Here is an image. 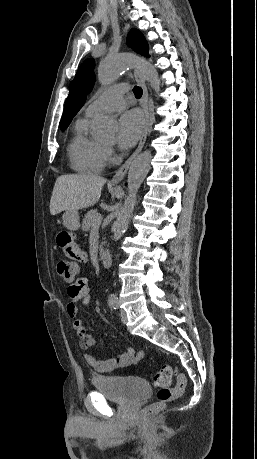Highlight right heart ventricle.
<instances>
[{"label":"right heart ventricle","instance_id":"obj_1","mask_svg":"<svg viewBox=\"0 0 257 459\" xmlns=\"http://www.w3.org/2000/svg\"><path fill=\"white\" fill-rule=\"evenodd\" d=\"M91 116L85 114L74 126V134L68 145L71 168L80 173H99L104 167V146L88 134Z\"/></svg>","mask_w":257,"mask_h":459}]
</instances>
